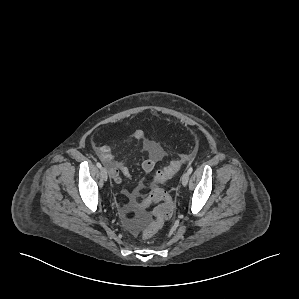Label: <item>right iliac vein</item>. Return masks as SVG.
Listing matches in <instances>:
<instances>
[{
    "mask_svg": "<svg viewBox=\"0 0 299 299\" xmlns=\"http://www.w3.org/2000/svg\"><path fill=\"white\" fill-rule=\"evenodd\" d=\"M101 177L106 181L108 179L107 170L105 168H101Z\"/></svg>",
    "mask_w": 299,
    "mask_h": 299,
    "instance_id": "right-iliac-vein-1",
    "label": "right iliac vein"
}]
</instances>
